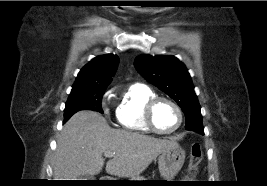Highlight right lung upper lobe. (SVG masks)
Masks as SVG:
<instances>
[{"label": "right lung upper lobe", "mask_w": 267, "mask_h": 186, "mask_svg": "<svg viewBox=\"0 0 267 186\" xmlns=\"http://www.w3.org/2000/svg\"><path fill=\"white\" fill-rule=\"evenodd\" d=\"M118 63L117 55L106 54L95 57L78 73L72 91L106 89Z\"/></svg>", "instance_id": "right-lung-upper-lobe-1"}]
</instances>
